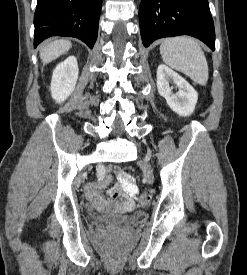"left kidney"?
Masks as SVG:
<instances>
[{"label": "left kidney", "mask_w": 247, "mask_h": 275, "mask_svg": "<svg viewBox=\"0 0 247 275\" xmlns=\"http://www.w3.org/2000/svg\"><path fill=\"white\" fill-rule=\"evenodd\" d=\"M158 93L166 99L168 106L180 116H189L194 112L198 94L195 89L178 73L164 64L157 69ZM178 87V92L173 93L170 83Z\"/></svg>", "instance_id": "obj_1"}]
</instances>
